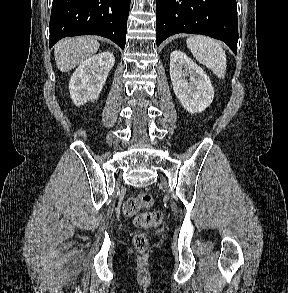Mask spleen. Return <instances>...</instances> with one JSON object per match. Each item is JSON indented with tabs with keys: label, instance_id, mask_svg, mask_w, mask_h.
Returning a JSON list of instances; mask_svg holds the SVG:
<instances>
[{
	"label": "spleen",
	"instance_id": "obj_1",
	"mask_svg": "<svg viewBox=\"0 0 288 293\" xmlns=\"http://www.w3.org/2000/svg\"><path fill=\"white\" fill-rule=\"evenodd\" d=\"M186 42L187 47L200 63L211 69L219 78H224L226 54L218 42L200 35L190 36Z\"/></svg>",
	"mask_w": 288,
	"mask_h": 293
}]
</instances>
